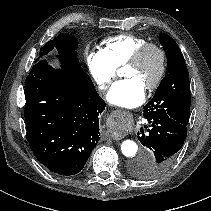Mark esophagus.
<instances>
[{
  "mask_svg": "<svg viewBox=\"0 0 211 211\" xmlns=\"http://www.w3.org/2000/svg\"><path fill=\"white\" fill-rule=\"evenodd\" d=\"M114 113L117 114V115H122V113H124V112L121 111V110H117V111H114ZM121 138H122L121 136H119V137H114V139H116V140L121 139Z\"/></svg>",
  "mask_w": 211,
  "mask_h": 211,
  "instance_id": "1",
  "label": "esophagus"
}]
</instances>
